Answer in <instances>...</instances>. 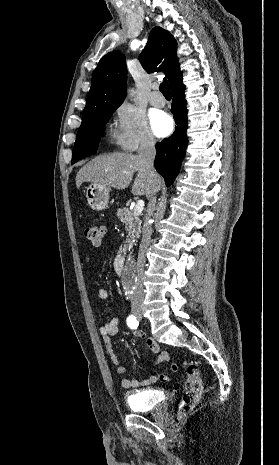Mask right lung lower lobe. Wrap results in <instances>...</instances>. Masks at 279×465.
Here are the masks:
<instances>
[{"label": "right lung lower lobe", "instance_id": "1", "mask_svg": "<svg viewBox=\"0 0 279 465\" xmlns=\"http://www.w3.org/2000/svg\"><path fill=\"white\" fill-rule=\"evenodd\" d=\"M184 89L182 80L171 88L173 94L171 112L177 124L176 130L169 138L156 144L155 168L163 176L166 186H170L178 175L188 144Z\"/></svg>", "mask_w": 279, "mask_h": 465}]
</instances>
